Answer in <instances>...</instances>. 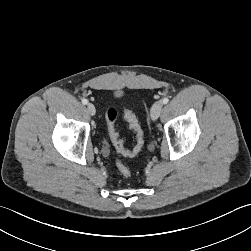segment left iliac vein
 I'll use <instances>...</instances> for the list:
<instances>
[{
  "mask_svg": "<svg viewBox=\"0 0 251 251\" xmlns=\"http://www.w3.org/2000/svg\"><path fill=\"white\" fill-rule=\"evenodd\" d=\"M163 108V103L161 101H157L156 103L153 104L151 111H150V116L152 120L158 119L161 111Z\"/></svg>",
  "mask_w": 251,
  "mask_h": 251,
  "instance_id": "1",
  "label": "left iliac vein"
}]
</instances>
